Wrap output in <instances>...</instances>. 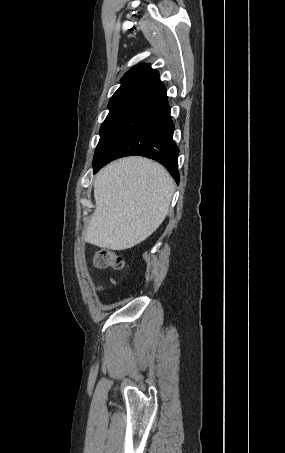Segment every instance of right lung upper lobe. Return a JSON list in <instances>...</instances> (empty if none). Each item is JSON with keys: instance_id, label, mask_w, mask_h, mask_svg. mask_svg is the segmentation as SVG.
Segmentation results:
<instances>
[{"instance_id": "cb5924a9", "label": "right lung upper lobe", "mask_w": 285, "mask_h": 453, "mask_svg": "<svg viewBox=\"0 0 285 453\" xmlns=\"http://www.w3.org/2000/svg\"><path fill=\"white\" fill-rule=\"evenodd\" d=\"M158 76V71L152 69L148 63H142L134 66L123 76L121 79V86L114 93L111 100H126L134 92Z\"/></svg>"}]
</instances>
